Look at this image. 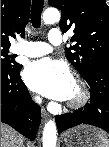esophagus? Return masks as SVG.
I'll use <instances>...</instances> for the list:
<instances>
[{"instance_id":"esophagus-1","label":"esophagus","mask_w":109,"mask_h":147,"mask_svg":"<svg viewBox=\"0 0 109 147\" xmlns=\"http://www.w3.org/2000/svg\"><path fill=\"white\" fill-rule=\"evenodd\" d=\"M48 118H49L48 113L46 112L44 108H42V119L46 122Z\"/></svg>"}]
</instances>
